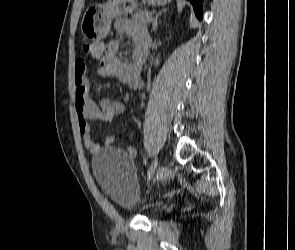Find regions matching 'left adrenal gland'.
Instances as JSON below:
<instances>
[{"instance_id":"left-adrenal-gland-1","label":"left adrenal gland","mask_w":295,"mask_h":250,"mask_svg":"<svg viewBox=\"0 0 295 250\" xmlns=\"http://www.w3.org/2000/svg\"><path fill=\"white\" fill-rule=\"evenodd\" d=\"M162 13H158L153 21V25H152V30L151 31H156L157 27H158V19L161 16ZM160 23V21H159Z\"/></svg>"}]
</instances>
